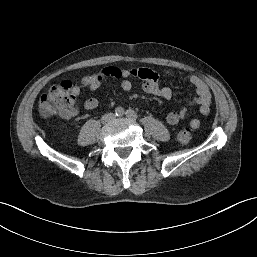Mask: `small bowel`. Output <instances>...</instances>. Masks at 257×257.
Returning a JSON list of instances; mask_svg holds the SVG:
<instances>
[{
  "mask_svg": "<svg viewBox=\"0 0 257 257\" xmlns=\"http://www.w3.org/2000/svg\"><path fill=\"white\" fill-rule=\"evenodd\" d=\"M165 75L176 77L191 84L196 92V96L188 101L180 110L167 113L166 122L169 125L175 126L183 121L189 108L193 105H199L200 113L203 115H208L210 113L212 100L211 92L203 79L195 75L184 74L174 70L165 71ZM108 78L117 79L121 89L124 91H130L132 88L131 79L137 78L141 81L143 92L162 99H170L172 97L171 88L161 85L160 75L156 71L147 67L120 68L116 66H107L97 73L84 76L81 79L80 84L74 88V94L79 96L84 90L95 92L106 84ZM99 103V98L91 97L85 100L83 106L86 110H93L99 106ZM78 113L79 111L74 109L65 116L68 118L75 117ZM190 126L196 129L200 126V121L196 118L192 119Z\"/></svg>",
  "mask_w": 257,
  "mask_h": 257,
  "instance_id": "1",
  "label": "small bowel"
}]
</instances>
